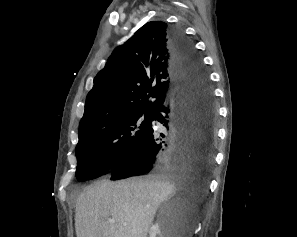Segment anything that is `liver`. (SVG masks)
<instances>
[{
	"label": "liver",
	"mask_w": 297,
	"mask_h": 237,
	"mask_svg": "<svg viewBox=\"0 0 297 237\" xmlns=\"http://www.w3.org/2000/svg\"><path fill=\"white\" fill-rule=\"evenodd\" d=\"M192 181L176 174L98 181L77 198L76 236L147 237L159 205Z\"/></svg>",
	"instance_id": "1"
}]
</instances>
